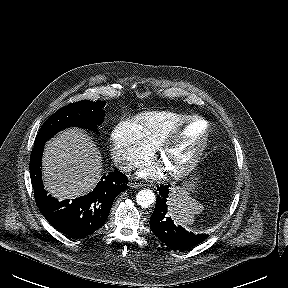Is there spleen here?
<instances>
[{
    "label": "spleen",
    "instance_id": "spleen-1",
    "mask_svg": "<svg viewBox=\"0 0 288 288\" xmlns=\"http://www.w3.org/2000/svg\"><path fill=\"white\" fill-rule=\"evenodd\" d=\"M167 205L168 215L176 224L187 226L194 222L195 214L202 211L203 206L187 193H177L172 189Z\"/></svg>",
    "mask_w": 288,
    "mask_h": 288
}]
</instances>
